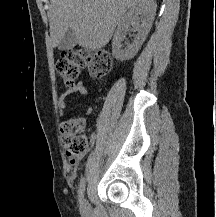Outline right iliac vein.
Listing matches in <instances>:
<instances>
[{"label":"right iliac vein","instance_id":"1","mask_svg":"<svg viewBox=\"0 0 216 217\" xmlns=\"http://www.w3.org/2000/svg\"><path fill=\"white\" fill-rule=\"evenodd\" d=\"M81 210L83 213H88L89 212V205L88 202L84 199L82 204H81Z\"/></svg>","mask_w":216,"mask_h":217}]
</instances>
